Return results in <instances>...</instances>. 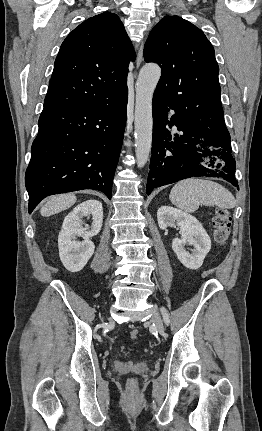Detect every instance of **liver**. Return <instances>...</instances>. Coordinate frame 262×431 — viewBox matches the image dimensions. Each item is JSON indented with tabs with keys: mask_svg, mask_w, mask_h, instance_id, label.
Wrapping results in <instances>:
<instances>
[{
	"mask_svg": "<svg viewBox=\"0 0 262 431\" xmlns=\"http://www.w3.org/2000/svg\"><path fill=\"white\" fill-rule=\"evenodd\" d=\"M77 198L75 194H61L50 198L40 209L43 217L62 212L75 204Z\"/></svg>",
	"mask_w": 262,
	"mask_h": 431,
	"instance_id": "liver-1",
	"label": "liver"
}]
</instances>
